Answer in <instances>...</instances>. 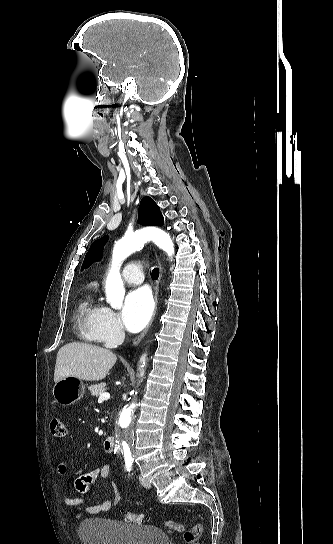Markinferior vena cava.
I'll list each match as a JSON object with an SVG mask.
<instances>
[{"instance_id": "inferior-vena-cava-1", "label": "inferior vena cava", "mask_w": 333, "mask_h": 544, "mask_svg": "<svg viewBox=\"0 0 333 544\" xmlns=\"http://www.w3.org/2000/svg\"><path fill=\"white\" fill-rule=\"evenodd\" d=\"M124 336H125L124 333H122V334H121V339H124Z\"/></svg>"}]
</instances>
